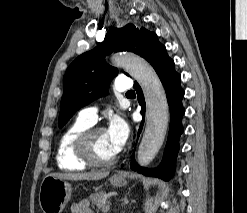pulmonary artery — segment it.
I'll return each mask as SVG.
<instances>
[{
	"instance_id": "pulmonary-artery-1",
	"label": "pulmonary artery",
	"mask_w": 247,
	"mask_h": 213,
	"mask_svg": "<svg viewBox=\"0 0 247 213\" xmlns=\"http://www.w3.org/2000/svg\"><path fill=\"white\" fill-rule=\"evenodd\" d=\"M132 88V81L128 77H117L116 79V91L119 93H124L130 91ZM97 107H88L82 109L79 114L78 118L87 121L91 124H94L97 121Z\"/></svg>"
}]
</instances>
